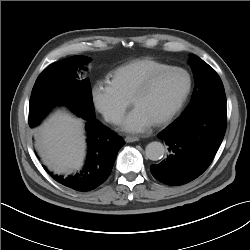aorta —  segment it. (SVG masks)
<instances>
[{"instance_id": "762f6f07", "label": "aorta", "mask_w": 250, "mask_h": 250, "mask_svg": "<svg viewBox=\"0 0 250 250\" xmlns=\"http://www.w3.org/2000/svg\"><path fill=\"white\" fill-rule=\"evenodd\" d=\"M146 157L152 161H157L163 158L165 154V148L160 142H151L145 149Z\"/></svg>"}]
</instances>
